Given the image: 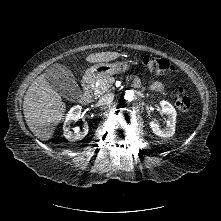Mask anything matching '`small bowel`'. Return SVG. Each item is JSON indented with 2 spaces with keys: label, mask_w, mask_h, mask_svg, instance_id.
<instances>
[{
  "label": "small bowel",
  "mask_w": 221,
  "mask_h": 221,
  "mask_svg": "<svg viewBox=\"0 0 221 221\" xmlns=\"http://www.w3.org/2000/svg\"><path fill=\"white\" fill-rule=\"evenodd\" d=\"M130 82H131V84H132L133 86H136V87L140 85L139 79H138L137 77H134V76L130 78ZM150 87H151L153 90H157V91L163 90V85H162V83L159 82V81L153 82V83L150 85Z\"/></svg>",
  "instance_id": "small-bowel-1"
}]
</instances>
